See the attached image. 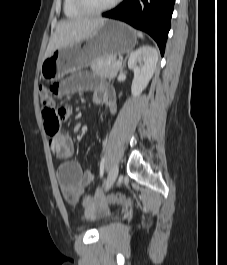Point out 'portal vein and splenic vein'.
Here are the masks:
<instances>
[{
    "instance_id": "portal-vein-and-splenic-vein-1",
    "label": "portal vein and splenic vein",
    "mask_w": 227,
    "mask_h": 265,
    "mask_svg": "<svg viewBox=\"0 0 227 265\" xmlns=\"http://www.w3.org/2000/svg\"><path fill=\"white\" fill-rule=\"evenodd\" d=\"M116 65H117V66H120V65H121V61H117V62H116Z\"/></svg>"
}]
</instances>
